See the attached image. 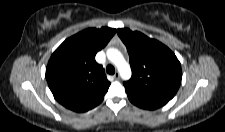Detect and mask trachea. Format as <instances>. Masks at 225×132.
<instances>
[{"label": "trachea", "instance_id": "3493384b", "mask_svg": "<svg viewBox=\"0 0 225 132\" xmlns=\"http://www.w3.org/2000/svg\"><path fill=\"white\" fill-rule=\"evenodd\" d=\"M106 72L110 75L114 74L115 73V68L112 66V65H108L106 67Z\"/></svg>", "mask_w": 225, "mask_h": 132}]
</instances>
